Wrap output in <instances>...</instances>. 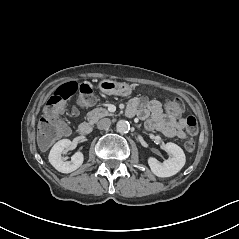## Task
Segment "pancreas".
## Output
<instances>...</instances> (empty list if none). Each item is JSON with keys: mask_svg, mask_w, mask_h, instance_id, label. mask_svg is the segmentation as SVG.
Returning <instances> with one entry per match:
<instances>
[{"mask_svg": "<svg viewBox=\"0 0 239 239\" xmlns=\"http://www.w3.org/2000/svg\"><path fill=\"white\" fill-rule=\"evenodd\" d=\"M113 114L110 113L105 108H95L92 111L87 113V120L90 124L96 123L99 119L106 117V116H112Z\"/></svg>", "mask_w": 239, "mask_h": 239, "instance_id": "1", "label": "pancreas"}]
</instances>
